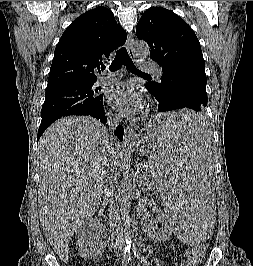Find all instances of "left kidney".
I'll return each mask as SVG.
<instances>
[{
	"instance_id": "1",
	"label": "left kidney",
	"mask_w": 253,
	"mask_h": 266,
	"mask_svg": "<svg viewBox=\"0 0 253 266\" xmlns=\"http://www.w3.org/2000/svg\"><path fill=\"white\" fill-rule=\"evenodd\" d=\"M162 219V230L156 232L152 231V236L157 240H166L172 231L171 223L169 222L168 218L166 216H162Z\"/></svg>"
}]
</instances>
